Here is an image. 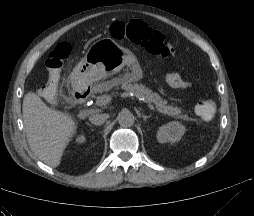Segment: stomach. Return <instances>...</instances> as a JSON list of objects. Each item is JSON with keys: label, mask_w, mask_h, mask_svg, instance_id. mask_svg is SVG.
I'll return each mask as SVG.
<instances>
[{"label": "stomach", "mask_w": 254, "mask_h": 216, "mask_svg": "<svg viewBox=\"0 0 254 216\" xmlns=\"http://www.w3.org/2000/svg\"><path fill=\"white\" fill-rule=\"evenodd\" d=\"M127 67L124 78L137 81L143 72L137 56L129 49L120 46L110 38L93 43L72 72L75 83L93 82L118 74Z\"/></svg>", "instance_id": "0dacf381"}]
</instances>
